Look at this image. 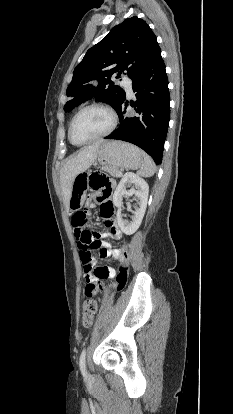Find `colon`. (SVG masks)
Listing matches in <instances>:
<instances>
[{
	"label": "colon",
	"instance_id": "obj_1",
	"mask_svg": "<svg viewBox=\"0 0 233 414\" xmlns=\"http://www.w3.org/2000/svg\"><path fill=\"white\" fill-rule=\"evenodd\" d=\"M89 185L91 189L99 193L98 200L101 202V215L103 217L110 216L114 209L108 198L111 196L114 181L107 174L102 172H95L89 177ZM72 223L77 231L78 246L80 249V258L85 271H90L94 267L95 257L92 253L93 249H99L101 252V242L97 239L96 232H93L88 227V214L86 211H76L72 217ZM116 259L119 260V272L116 277L115 287L118 290L124 288L128 279V249L124 245L116 252ZM96 274L100 279H104L107 270L105 266L95 268ZM101 285L87 284L85 287L86 299L83 304L82 321L85 327L91 326L94 316L98 309V290Z\"/></svg>",
	"mask_w": 233,
	"mask_h": 414
}]
</instances>
